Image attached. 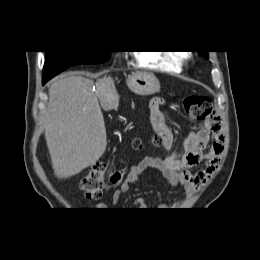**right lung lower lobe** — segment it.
Listing matches in <instances>:
<instances>
[{"mask_svg":"<svg viewBox=\"0 0 260 260\" xmlns=\"http://www.w3.org/2000/svg\"><path fill=\"white\" fill-rule=\"evenodd\" d=\"M49 79L43 77V84H45Z\"/></svg>","mask_w":260,"mask_h":260,"instance_id":"obj_1","label":"right lung lower lobe"}]
</instances>
